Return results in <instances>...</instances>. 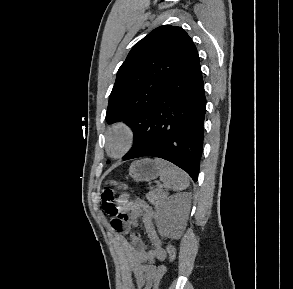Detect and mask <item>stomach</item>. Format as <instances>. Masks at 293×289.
<instances>
[{
  "instance_id": "0dacf381",
  "label": "stomach",
  "mask_w": 293,
  "mask_h": 289,
  "mask_svg": "<svg viewBox=\"0 0 293 289\" xmlns=\"http://www.w3.org/2000/svg\"><path fill=\"white\" fill-rule=\"evenodd\" d=\"M129 176L137 182H149L159 176V169L154 160L141 159L130 165Z\"/></svg>"
}]
</instances>
